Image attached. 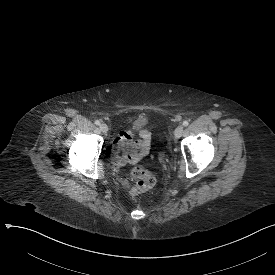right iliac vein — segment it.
Masks as SVG:
<instances>
[{"label": "right iliac vein", "instance_id": "63e3f726", "mask_svg": "<svg viewBox=\"0 0 275 275\" xmlns=\"http://www.w3.org/2000/svg\"><path fill=\"white\" fill-rule=\"evenodd\" d=\"M100 129L102 132H107L108 131V126L107 124L103 123L100 125Z\"/></svg>", "mask_w": 275, "mask_h": 275}]
</instances>
